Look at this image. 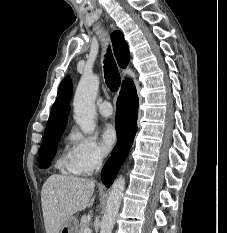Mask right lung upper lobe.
Instances as JSON below:
<instances>
[{
    "instance_id": "cb5924a9",
    "label": "right lung upper lobe",
    "mask_w": 227,
    "mask_h": 233,
    "mask_svg": "<svg viewBox=\"0 0 227 233\" xmlns=\"http://www.w3.org/2000/svg\"><path fill=\"white\" fill-rule=\"evenodd\" d=\"M111 41L113 45V50L115 57L118 61L120 67L125 68L130 60L129 48L124 40V36L120 31H115L111 35ZM129 79H126L122 84V90L126 88L127 82ZM72 94V84L71 79L67 76L61 83L56 101L54 102L50 117L46 126L44 138L52 137L58 133L64 131L67 116L70 111V98Z\"/></svg>"
}]
</instances>
